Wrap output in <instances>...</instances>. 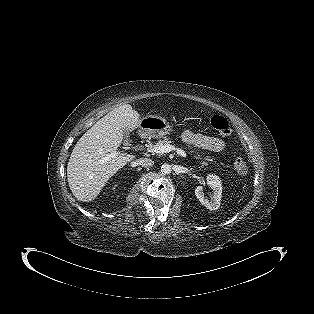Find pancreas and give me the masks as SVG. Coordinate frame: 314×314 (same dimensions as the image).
Returning <instances> with one entry per match:
<instances>
[{"instance_id":"obj_1","label":"pancreas","mask_w":314,"mask_h":314,"mask_svg":"<svg viewBox=\"0 0 314 314\" xmlns=\"http://www.w3.org/2000/svg\"><path fill=\"white\" fill-rule=\"evenodd\" d=\"M171 142H172V141H171L169 138L164 137L162 140H159V141H158L157 143H155V144H149V145H148V149H149V150H152V149H154L155 147H158V146L163 145V144H169V143H171ZM200 164H201V166L203 167V166H207V165H208V162L201 160Z\"/></svg>"}]
</instances>
